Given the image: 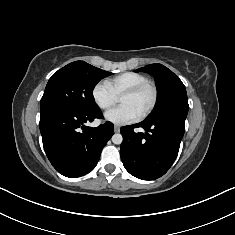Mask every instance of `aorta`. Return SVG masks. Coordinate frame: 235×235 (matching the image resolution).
<instances>
[{
	"label": "aorta",
	"instance_id": "aorta-1",
	"mask_svg": "<svg viewBox=\"0 0 235 235\" xmlns=\"http://www.w3.org/2000/svg\"><path fill=\"white\" fill-rule=\"evenodd\" d=\"M122 141H123V137H122L121 134L116 133V134H114V135L112 136V142H113L114 144H117V145H118V144H121Z\"/></svg>",
	"mask_w": 235,
	"mask_h": 235
}]
</instances>
